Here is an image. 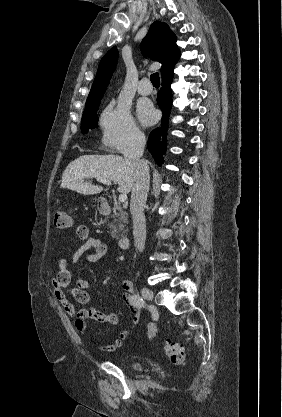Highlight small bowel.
<instances>
[{
  "label": "small bowel",
  "instance_id": "1",
  "mask_svg": "<svg viewBox=\"0 0 282 417\" xmlns=\"http://www.w3.org/2000/svg\"><path fill=\"white\" fill-rule=\"evenodd\" d=\"M76 236L83 240V243L73 252L71 261L73 264H78L82 259L88 262H97L104 258L109 251L108 245L99 237L91 236L89 229L85 224H78L75 228ZM92 251V252H90ZM59 270L52 278L53 294L57 301L63 306L65 311L75 319V328L79 332L87 330V319L99 323H105L108 327L116 326L119 322V317L115 313H106L96 308H82L77 309L69 299L71 294L75 300L80 304H87L89 302V295L86 292L88 283L82 277L77 276L75 286L70 287L72 274L68 269V262L66 258H61L58 263ZM123 296L129 306L132 314L131 325L122 329L116 338L112 339L108 344H97L96 347L102 352H114L122 346V343L129 338L131 332L140 321V308L132 301L134 295V287L130 280H123L121 283Z\"/></svg>",
  "mask_w": 282,
  "mask_h": 417
}]
</instances>
